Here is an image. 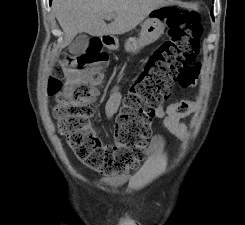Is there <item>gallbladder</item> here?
<instances>
[{
	"label": "gallbladder",
	"instance_id": "1",
	"mask_svg": "<svg viewBox=\"0 0 245 225\" xmlns=\"http://www.w3.org/2000/svg\"><path fill=\"white\" fill-rule=\"evenodd\" d=\"M89 45V37L87 35H79L69 45V52L73 55H81L85 52Z\"/></svg>",
	"mask_w": 245,
	"mask_h": 225
}]
</instances>
